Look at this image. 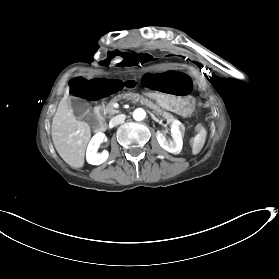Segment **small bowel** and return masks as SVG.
<instances>
[{"mask_svg": "<svg viewBox=\"0 0 279 279\" xmlns=\"http://www.w3.org/2000/svg\"><path fill=\"white\" fill-rule=\"evenodd\" d=\"M141 83L148 92L174 96L187 94L191 87L190 77L175 70L147 73L141 78Z\"/></svg>", "mask_w": 279, "mask_h": 279, "instance_id": "small-bowel-1", "label": "small bowel"}]
</instances>
